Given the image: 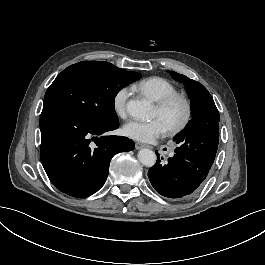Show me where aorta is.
Segmentation results:
<instances>
[{
	"instance_id": "1",
	"label": "aorta",
	"mask_w": 265,
	"mask_h": 265,
	"mask_svg": "<svg viewBox=\"0 0 265 265\" xmlns=\"http://www.w3.org/2000/svg\"><path fill=\"white\" fill-rule=\"evenodd\" d=\"M127 112L134 118L147 120L151 118L152 106L146 100H130L127 103ZM138 159L146 167H152L156 163V155L150 149H141Z\"/></svg>"
}]
</instances>
